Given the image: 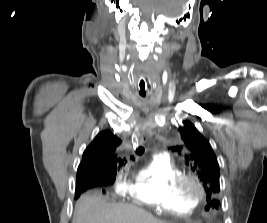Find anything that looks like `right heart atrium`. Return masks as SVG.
I'll return each instance as SVG.
<instances>
[{
	"mask_svg": "<svg viewBox=\"0 0 267 223\" xmlns=\"http://www.w3.org/2000/svg\"><path fill=\"white\" fill-rule=\"evenodd\" d=\"M126 183L122 180L120 176L116 177L114 188L117 193H123L125 190Z\"/></svg>",
	"mask_w": 267,
	"mask_h": 223,
	"instance_id": "1",
	"label": "right heart atrium"
}]
</instances>
